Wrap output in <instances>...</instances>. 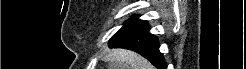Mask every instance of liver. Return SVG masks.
<instances>
[{"mask_svg": "<svg viewBox=\"0 0 246 69\" xmlns=\"http://www.w3.org/2000/svg\"><path fill=\"white\" fill-rule=\"evenodd\" d=\"M111 66L115 69H154L141 55L126 49H114L108 54Z\"/></svg>", "mask_w": 246, "mask_h": 69, "instance_id": "liver-1", "label": "liver"}]
</instances>
